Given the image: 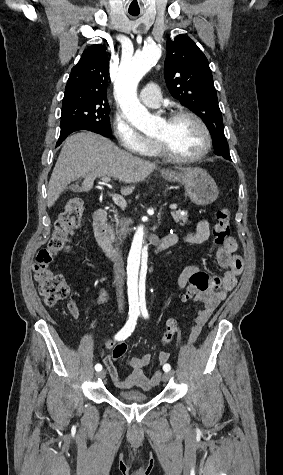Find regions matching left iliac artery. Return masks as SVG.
<instances>
[{
	"instance_id": "1",
	"label": "left iliac artery",
	"mask_w": 283,
	"mask_h": 475,
	"mask_svg": "<svg viewBox=\"0 0 283 475\" xmlns=\"http://www.w3.org/2000/svg\"><path fill=\"white\" fill-rule=\"evenodd\" d=\"M141 313H142V315L144 316V318H148V317H149L148 311H147L145 305L141 307ZM170 369H171V367H170L169 364H165V365L163 366V370H164L165 372L170 371Z\"/></svg>"
}]
</instances>
